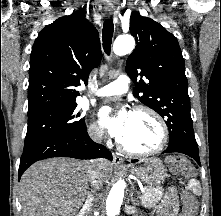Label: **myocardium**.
Here are the masks:
<instances>
[{
	"label": "myocardium",
	"instance_id": "obj_1",
	"mask_svg": "<svg viewBox=\"0 0 221 216\" xmlns=\"http://www.w3.org/2000/svg\"><path fill=\"white\" fill-rule=\"evenodd\" d=\"M132 113H145L151 116L159 125L161 133L160 141L154 148L141 151V150L131 149L127 147L121 140H119L118 141L119 149L128 155L137 156V157L151 156L163 150L169 139L168 126L165 120L163 119V117L155 109L147 105H138L134 107Z\"/></svg>",
	"mask_w": 221,
	"mask_h": 216
}]
</instances>
